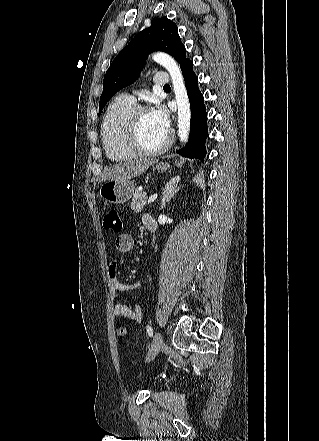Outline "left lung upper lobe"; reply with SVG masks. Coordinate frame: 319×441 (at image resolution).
<instances>
[{
    "label": "left lung upper lobe",
    "instance_id": "obj_1",
    "mask_svg": "<svg viewBox=\"0 0 319 441\" xmlns=\"http://www.w3.org/2000/svg\"><path fill=\"white\" fill-rule=\"evenodd\" d=\"M154 51L170 54L180 64V68L189 60L177 25L167 17L153 20L151 26L137 33L113 60L104 77L99 114L116 92L138 78L147 55Z\"/></svg>",
    "mask_w": 319,
    "mask_h": 441
}]
</instances>
